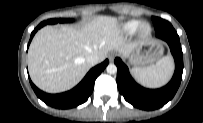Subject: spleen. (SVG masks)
<instances>
[{
  "mask_svg": "<svg viewBox=\"0 0 203 123\" xmlns=\"http://www.w3.org/2000/svg\"><path fill=\"white\" fill-rule=\"evenodd\" d=\"M174 69L173 60L165 56L156 64L147 67H136L131 70L135 79L144 86L158 87L165 84L171 77Z\"/></svg>",
  "mask_w": 203,
  "mask_h": 123,
  "instance_id": "3e777b00",
  "label": "spleen"
}]
</instances>
